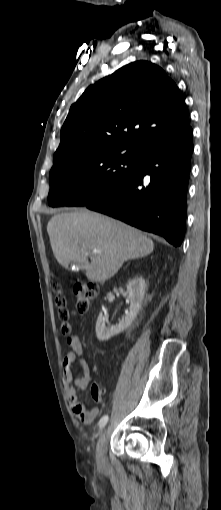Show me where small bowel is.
I'll list each match as a JSON object with an SVG mask.
<instances>
[{
    "label": "small bowel",
    "instance_id": "small-bowel-1",
    "mask_svg": "<svg viewBox=\"0 0 221 510\" xmlns=\"http://www.w3.org/2000/svg\"><path fill=\"white\" fill-rule=\"evenodd\" d=\"M71 350L65 355L62 367L64 374V390L67 399L72 407L74 415L85 425L94 422L98 415V410L88 409L83 402L79 400L78 390L86 389L91 382V369L87 361L82 357L83 343L79 336H71L67 339ZM78 363L82 375L74 377L73 364ZM101 394L102 391L100 390Z\"/></svg>",
    "mask_w": 221,
    "mask_h": 510
}]
</instances>
